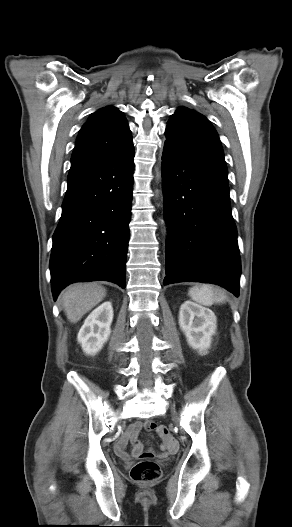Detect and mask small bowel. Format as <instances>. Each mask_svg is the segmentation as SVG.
Here are the masks:
<instances>
[{
    "label": "small bowel",
    "instance_id": "small-bowel-1",
    "mask_svg": "<svg viewBox=\"0 0 292 527\" xmlns=\"http://www.w3.org/2000/svg\"><path fill=\"white\" fill-rule=\"evenodd\" d=\"M142 428V425L139 423H134L128 427L126 432L123 434V436L119 439V441L115 444V452L116 454L125 459H129V454L126 452V446L128 443H131L133 446L132 449V455L134 457H141L148 460H152L155 457L154 452L148 450L145 451L142 444L138 440V433L140 432ZM153 430L155 432H159L162 443L160 445V452L158 453V458L160 460H165L166 458L171 459L173 457V453L177 450V442L176 440L168 433L169 429L167 426H163L161 423H155L153 425Z\"/></svg>",
    "mask_w": 292,
    "mask_h": 527
}]
</instances>
